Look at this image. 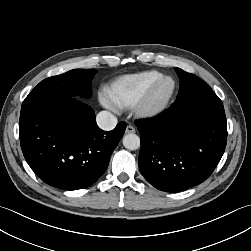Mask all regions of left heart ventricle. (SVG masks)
Segmentation results:
<instances>
[{"instance_id":"b2bd125f","label":"left heart ventricle","mask_w":251,"mask_h":251,"mask_svg":"<svg viewBox=\"0 0 251 251\" xmlns=\"http://www.w3.org/2000/svg\"><path fill=\"white\" fill-rule=\"evenodd\" d=\"M170 88H171V82L169 80L163 82L156 92L155 99L161 100L162 98H164L169 92Z\"/></svg>"}]
</instances>
